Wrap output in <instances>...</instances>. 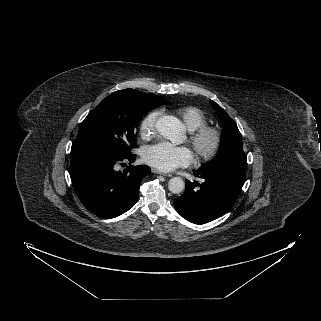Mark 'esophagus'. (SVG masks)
Returning a JSON list of instances; mask_svg holds the SVG:
<instances>
[{
  "mask_svg": "<svg viewBox=\"0 0 321 321\" xmlns=\"http://www.w3.org/2000/svg\"><path fill=\"white\" fill-rule=\"evenodd\" d=\"M152 172L155 173V174H159V175H163V176H171V175H168L164 172H161L160 170L156 169V168H152Z\"/></svg>",
  "mask_w": 321,
  "mask_h": 321,
  "instance_id": "obj_1",
  "label": "esophagus"
}]
</instances>
